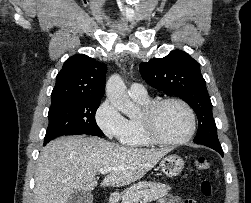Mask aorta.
Segmentation results:
<instances>
[{"instance_id": "obj_1", "label": "aorta", "mask_w": 251, "mask_h": 203, "mask_svg": "<svg viewBox=\"0 0 251 203\" xmlns=\"http://www.w3.org/2000/svg\"><path fill=\"white\" fill-rule=\"evenodd\" d=\"M106 95L110 103L128 117L138 114V108L127 95L126 86L122 78L114 74L106 83Z\"/></svg>"}]
</instances>
